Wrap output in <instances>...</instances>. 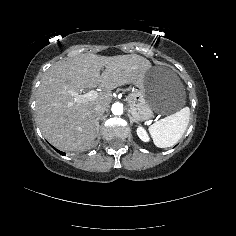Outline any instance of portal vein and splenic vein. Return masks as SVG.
<instances>
[{
    "mask_svg": "<svg viewBox=\"0 0 236 236\" xmlns=\"http://www.w3.org/2000/svg\"><path fill=\"white\" fill-rule=\"evenodd\" d=\"M70 93L73 95V99H74L75 103L88 102V101H91L99 96V92L94 91V90L89 91L88 93H84V94H78L77 91L71 90Z\"/></svg>",
    "mask_w": 236,
    "mask_h": 236,
    "instance_id": "18ae733b",
    "label": "portal vein and splenic vein"
}]
</instances>
